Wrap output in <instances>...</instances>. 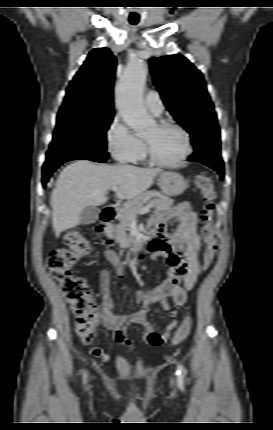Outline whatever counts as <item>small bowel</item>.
I'll return each mask as SVG.
<instances>
[{"label": "small bowel", "instance_id": "small-bowel-1", "mask_svg": "<svg viewBox=\"0 0 273 430\" xmlns=\"http://www.w3.org/2000/svg\"><path fill=\"white\" fill-rule=\"evenodd\" d=\"M169 221H176L177 226L173 231L166 229ZM198 217L191 209L188 202H181L175 208L158 211L150 220L149 228L154 236L151 250L152 259L163 257L168 265V277L164 283L154 290L140 289L136 293V302L139 307L130 314L116 315L114 312L115 302L110 297V273L101 270L98 273V285L101 297V311L99 314L100 324L115 332L116 340L130 349L134 348L126 330L131 324H140L145 333L143 343L158 347L167 341L171 332L182 327L176 319V312L170 310L168 298H171L175 307H181L187 299V293L196 284L199 272V257L201 240L197 231ZM106 255L113 261L115 275L123 278L125 267L118 260L112 250H107ZM145 270L144 265H140ZM153 305H157L165 311H170L172 319L164 328L162 333L156 332L154 325L147 318V314ZM90 353L104 362L109 361L110 356L101 347H93Z\"/></svg>", "mask_w": 273, "mask_h": 430}]
</instances>
